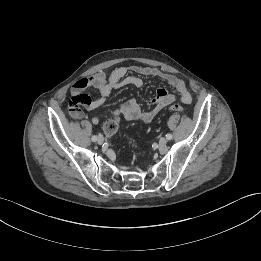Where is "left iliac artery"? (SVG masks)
<instances>
[{"mask_svg":"<svg viewBox=\"0 0 261 261\" xmlns=\"http://www.w3.org/2000/svg\"><path fill=\"white\" fill-rule=\"evenodd\" d=\"M166 138H167L168 140H171V139L173 138V136H172L170 133H168V134H166Z\"/></svg>","mask_w":261,"mask_h":261,"instance_id":"1","label":"left iliac artery"}]
</instances>
